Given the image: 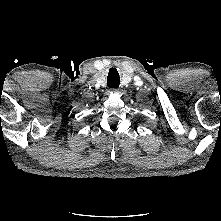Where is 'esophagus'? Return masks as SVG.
Listing matches in <instances>:
<instances>
[{
  "label": "esophagus",
  "instance_id": "34e87169",
  "mask_svg": "<svg viewBox=\"0 0 221 221\" xmlns=\"http://www.w3.org/2000/svg\"><path fill=\"white\" fill-rule=\"evenodd\" d=\"M110 91H111V92H118V89L113 88V89H111Z\"/></svg>",
  "mask_w": 221,
  "mask_h": 221
}]
</instances>
